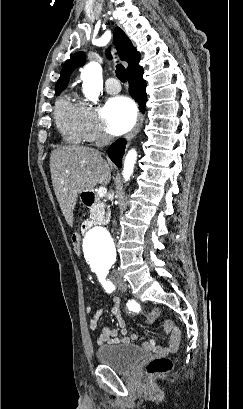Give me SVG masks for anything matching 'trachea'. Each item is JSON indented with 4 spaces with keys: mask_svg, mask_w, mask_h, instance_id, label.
Segmentation results:
<instances>
[{
    "mask_svg": "<svg viewBox=\"0 0 243 409\" xmlns=\"http://www.w3.org/2000/svg\"><path fill=\"white\" fill-rule=\"evenodd\" d=\"M116 76L117 78L121 81V82H125L126 81V70L124 68L123 65L118 64L116 66Z\"/></svg>",
    "mask_w": 243,
    "mask_h": 409,
    "instance_id": "3493384b",
    "label": "trachea"
}]
</instances>
